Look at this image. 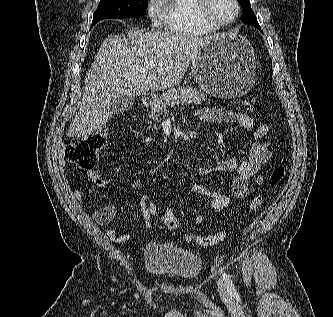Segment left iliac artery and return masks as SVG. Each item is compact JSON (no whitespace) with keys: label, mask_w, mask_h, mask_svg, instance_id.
<instances>
[{"label":"left iliac artery","mask_w":333,"mask_h":317,"mask_svg":"<svg viewBox=\"0 0 333 317\" xmlns=\"http://www.w3.org/2000/svg\"><path fill=\"white\" fill-rule=\"evenodd\" d=\"M223 281L225 282L228 291L230 292L231 295H236L237 291L235 289V286L230 278V276L226 273H223Z\"/></svg>","instance_id":"left-iliac-artery-1"}]
</instances>
